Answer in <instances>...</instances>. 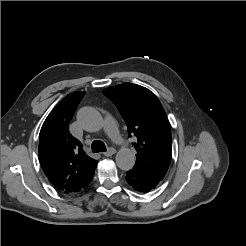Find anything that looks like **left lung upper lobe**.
I'll use <instances>...</instances> for the list:
<instances>
[{"label":"left lung upper lobe","instance_id":"5c2ea615","mask_svg":"<svg viewBox=\"0 0 246 246\" xmlns=\"http://www.w3.org/2000/svg\"><path fill=\"white\" fill-rule=\"evenodd\" d=\"M118 108L129 137L136 142V167L162 180L171 155V126L158 98L147 88L132 83L108 87L103 91Z\"/></svg>","mask_w":246,"mask_h":246}]
</instances>
